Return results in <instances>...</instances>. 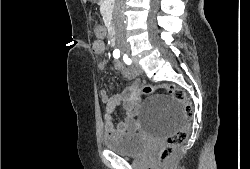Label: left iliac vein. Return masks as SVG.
Masks as SVG:
<instances>
[{"label":"left iliac vein","mask_w":250,"mask_h":169,"mask_svg":"<svg viewBox=\"0 0 250 169\" xmlns=\"http://www.w3.org/2000/svg\"><path fill=\"white\" fill-rule=\"evenodd\" d=\"M129 72L134 73V74H141L142 69L140 65L136 61H134L132 66L129 68Z\"/></svg>","instance_id":"obj_1"}]
</instances>
